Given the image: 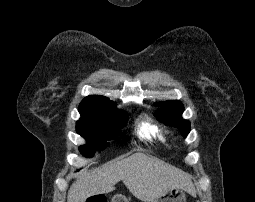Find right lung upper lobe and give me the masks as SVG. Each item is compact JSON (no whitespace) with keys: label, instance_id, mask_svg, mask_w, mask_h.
I'll use <instances>...</instances> for the list:
<instances>
[{"label":"right lung upper lobe","instance_id":"obj_1","mask_svg":"<svg viewBox=\"0 0 255 202\" xmlns=\"http://www.w3.org/2000/svg\"><path fill=\"white\" fill-rule=\"evenodd\" d=\"M81 118H105L120 112L114 102L107 97L91 95L83 99L79 106Z\"/></svg>","mask_w":255,"mask_h":202}]
</instances>
